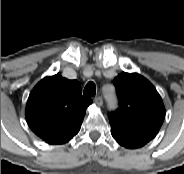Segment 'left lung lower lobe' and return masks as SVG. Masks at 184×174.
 Returning <instances> with one entry per match:
<instances>
[{"label": "left lung lower lobe", "instance_id": "left-lung-lower-lobe-1", "mask_svg": "<svg viewBox=\"0 0 184 174\" xmlns=\"http://www.w3.org/2000/svg\"><path fill=\"white\" fill-rule=\"evenodd\" d=\"M111 134L113 138L122 146L129 148V149H136L139 147L144 146L146 143H148L150 140L144 139V138H138L131 136L127 133L121 132L119 130H116L114 128H111Z\"/></svg>", "mask_w": 184, "mask_h": 174}]
</instances>
